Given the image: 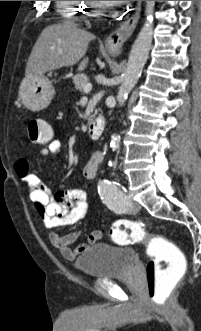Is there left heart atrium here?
Listing matches in <instances>:
<instances>
[{
	"instance_id": "1",
	"label": "left heart atrium",
	"mask_w": 201,
	"mask_h": 331,
	"mask_svg": "<svg viewBox=\"0 0 201 331\" xmlns=\"http://www.w3.org/2000/svg\"><path fill=\"white\" fill-rule=\"evenodd\" d=\"M107 5H122L128 3L129 1H101Z\"/></svg>"
}]
</instances>
